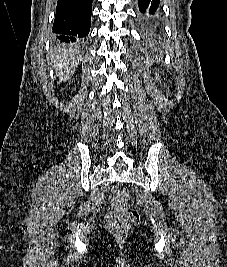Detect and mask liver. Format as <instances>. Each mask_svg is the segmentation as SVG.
<instances>
[{
  "label": "liver",
  "mask_w": 227,
  "mask_h": 267,
  "mask_svg": "<svg viewBox=\"0 0 227 267\" xmlns=\"http://www.w3.org/2000/svg\"><path fill=\"white\" fill-rule=\"evenodd\" d=\"M56 65L54 66L60 82H66L74 74L78 67V50L58 48L56 50Z\"/></svg>",
  "instance_id": "liver-1"
}]
</instances>
